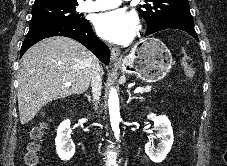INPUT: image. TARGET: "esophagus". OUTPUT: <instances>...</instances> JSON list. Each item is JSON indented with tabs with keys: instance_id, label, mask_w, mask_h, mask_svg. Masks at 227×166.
Instances as JSON below:
<instances>
[{
	"instance_id": "34e87169",
	"label": "esophagus",
	"mask_w": 227,
	"mask_h": 166,
	"mask_svg": "<svg viewBox=\"0 0 227 166\" xmlns=\"http://www.w3.org/2000/svg\"><path fill=\"white\" fill-rule=\"evenodd\" d=\"M119 55H120V49L117 47H112L111 48V60L112 62H117L119 61Z\"/></svg>"
}]
</instances>
